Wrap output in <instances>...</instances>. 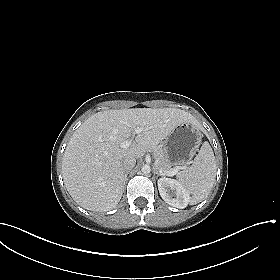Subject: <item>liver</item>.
<instances>
[{
  "label": "liver",
  "instance_id": "liver-1",
  "mask_svg": "<svg viewBox=\"0 0 280 280\" xmlns=\"http://www.w3.org/2000/svg\"><path fill=\"white\" fill-rule=\"evenodd\" d=\"M196 125L194 116L175 108H132L95 113L73 133L62 162L64 184L84 209L106 212L123 194L126 156L141 158L180 124ZM143 131L127 148L136 128Z\"/></svg>",
  "mask_w": 280,
  "mask_h": 280
}]
</instances>
